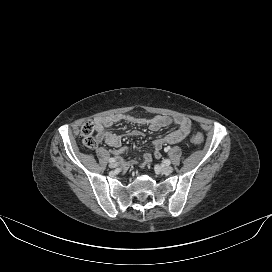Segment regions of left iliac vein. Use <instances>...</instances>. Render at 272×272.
<instances>
[{
	"label": "left iliac vein",
	"instance_id": "1",
	"mask_svg": "<svg viewBox=\"0 0 272 272\" xmlns=\"http://www.w3.org/2000/svg\"><path fill=\"white\" fill-rule=\"evenodd\" d=\"M156 170L159 173L165 174V175H169L173 172V168L171 166H167V165L156 166Z\"/></svg>",
	"mask_w": 272,
	"mask_h": 272
}]
</instances>
